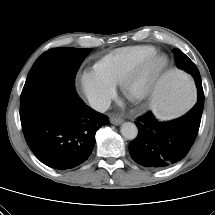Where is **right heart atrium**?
Segmentation results:
<instances>
[{"label":"right heart atrium","mask_w":215,"mask_h":215,"mask_svg":"<svg viewBox=\"0 0 215 215\" xmlns=\"http://www.w3.org/2000/svg\"><path fill=\"white\" fill-rule=\"evenodd\" d=\"M78 91L96 110H105L116 93V86L95 68L85 69L76 79Z\"/></svg>","instance_id":"obj_1"}]
</instances>
